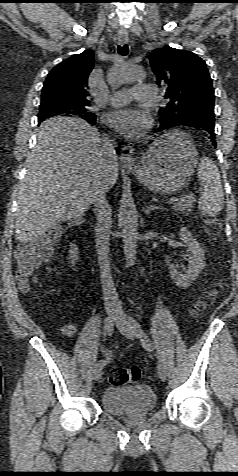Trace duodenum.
<instances>
[{
	"label": "duodenum",
	"mask_w": 238,
	"mask_h": 476,
	"mask_svg": "<svg viewBox=\"0 0 238 476\" xmlns=\"http://www.w3.org/2000/svg\"><path fill=\"white\" fill-rule=\"evenodd\" d=\"M83 224L82 219H76L70 223L69 228L73 231L78 230Z\"/></svg>",
	"instance_id": "obj_1"
}]
</instances>
